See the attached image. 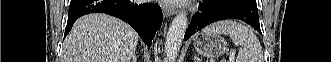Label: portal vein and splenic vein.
Wrapping results in <instances>:
<instances>
[{
	"mask_svg": "<svg viewBox=\"0 0 331 62\" xmlns=\"http://www.w3.org/2000/svg\"><path fill=\"white\" fill-rule=\"evenodd\" d=\"M234 61V56L231 55L230 58H229V62H233Z\"/></svg>",
	"mask_w": 331,
	"mask_h": 62,
	"instance_id": "18ae733b",
	"label": "portal vein and splenic vein"
}]
</instances>
